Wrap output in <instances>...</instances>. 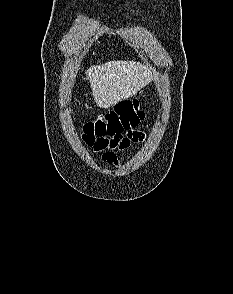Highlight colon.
Listing matches in <instances>:
<instances>
[{
	"label": "colon",
	"mask_w": 233,
	"mask_h": 294,
	"mask_svg": "<svg viewBox=\"0 0 233 294\" xmlns=\"http://www.w3.org/2000/svg\"><path fill=\"white\" fill-rule=\"evenodd\" d=\"M143 118L144 112L140 110L138 100L122 101L106 116L85 124L84 138L89 145L123 146L127 142L123 133L131 132Z\"/></svg>",
	"instance_id": "obj_1"
}]
</instances>
